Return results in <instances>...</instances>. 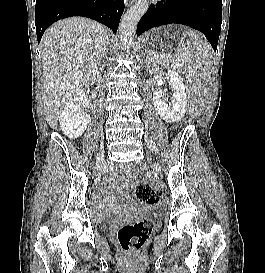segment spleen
Instances as JSON below:
<instances>
[{"instance_id":"3e777b00","label":"spleen","mask_w":265,"mask_h":273,"mask_svg":"<svg viewBox=\"0 0 265 273\" xmlns=\"http://www.w3.org/2000/svg\"><path fill=\"white\" fill-rule=\"evenodd\" d=\"M188 34L192 48L194 50V58L197 63V67L200 70V77L203 80H207L211 74L212 66V51L209 43L198 33L193 30H185Z\"/></svg>"}]
</instances>
